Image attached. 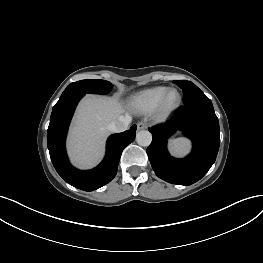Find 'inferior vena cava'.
<instances>
[{
	"instance_id": "inferior-vena-cava-1",
	"label": "inferior vena cava",
	"mask_w": 263,
	"mask_h": 263,
	"mask_svg": "<svg viewBox=\"0 0 263 263\" xmlns=\"http://www.w3.org/2000/svg\"><path fill=\"white\" fill-rule=\"evenodd\" d=\"M130 122V117L120 116L108 125V129L114 133L123 132L128 129Z\"/></svg>"
}]
</instances>
